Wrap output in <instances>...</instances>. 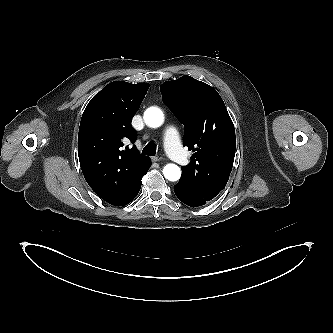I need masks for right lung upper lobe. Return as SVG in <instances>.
<instances>
[{
	"mask_svg": "<svg viewBox=\"0 0 333 333\" xmlns=\"http://www.w3.org/2000/svg\"><path fill=\"white\" fill-rule=\"evenodd\" d=\"M149 88L148 83H109L88 103L81 118L78 156L83 175L103 200L124 206L138 194L151 161L139 154L131 120Z\"/></svg>",
	"mask_w": 333,
	"mask_h": 333,
	"instance_id": "right-lung-upper-lobe-1",
	"label": "right lung upper lobe"
}]
</instances>
